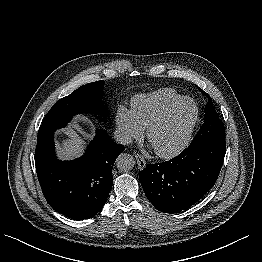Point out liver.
<instances>
[{
	"label": "liver",
	"mask_w": 262,
	"mask_h": 262,
	"mask_svg": "<svg viewBox=\"0 0 262 262\" xmlns=\"http://www.w3.org/2000/svg\"><path fill=\"white\" fill-rule=\"evenodd\" d=\"M70 137L62 140L58 147V156L61 159L69 160L79 157L84 150L85 140L77 134L70 133Z\"/></svg>",
	"instance_id": "1"
}]
</instances>
